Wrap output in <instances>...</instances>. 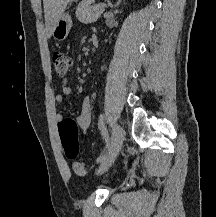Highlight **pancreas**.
Here are the masks:
<instances>
[{"label": "pancreas", "instance_id": "obj_1", "mask_svg": "<svg viewBox=\"0 0 216 217\" xmlns=\"http://www.w3.org/2000/svg\"><path fill=\"white\" fill-rule=\"evenodd\" d=\"M94 0H83L76 9V17L84 23L95 22L103 12V8L93 6Z\"/></svg>", "mask_w": 216, "mask_h": 217}]
</instances>
